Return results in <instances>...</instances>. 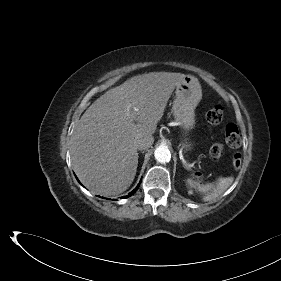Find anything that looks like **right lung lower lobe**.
I'll return each mask as SVG.
<instances>
[{
    "label": "right lung lower lobe",
    "mask_w": 281,
    "mask_h": 281,
    "mask_svg": "<svg viewBox=\"0 0 281 281\" xmlns=\"http://www.w3.org/2000/svg\"><path fill=\"white\" fill-rule=\"evenodd\" d=\"M138 187H139V185L128 196H126L125 198H128V197L132 196L137 191Z\"/></svg>",
    "instance_id": "1"
}]
</instances>
